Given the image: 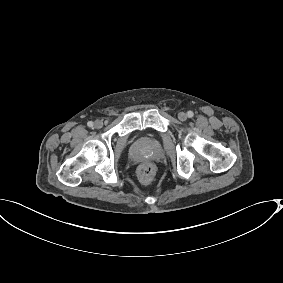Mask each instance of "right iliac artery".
<instances>
[{"mask_svg": "<svg viewBox=\"0 0 283 283\" xmlns=\"http://www.w3.org/2000/svg\"><path fill=\"white\" fill-rule=\"evenodd\" d=\"M87 125H88V127H92V126H93V122H92V121H89V122L87 123Z\"/></svg>", "mask_w": 283, "mask_h": 283, "instance_id": "1", "label": "right iliac artery"}]
</instances>
